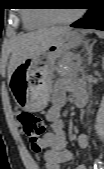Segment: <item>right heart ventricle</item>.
I'll use <instances>...</instances> for the list:
<instances>
[{
    "label": "right heart ventricle",
    "mask_w": 104,
    "mask_h": 169,
    "mask_svg": "<svg viewBox=\"0 0 104 169\" xmlns=\"http://www.w3.org/2000/svg\"><path fill=\"white\" fill-rule=\"evenodd\" d=\"M22 18L25 27L28 29L40 28L52 23L42 12L39 11L24 12Z\"/></svg>",
    "instance_id": "obj_1"
}]
</instances>
